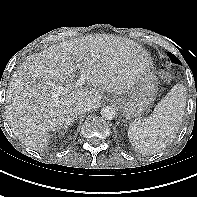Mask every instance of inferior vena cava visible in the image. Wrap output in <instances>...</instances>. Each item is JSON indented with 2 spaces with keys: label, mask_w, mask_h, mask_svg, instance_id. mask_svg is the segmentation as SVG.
<instances>
[{
  "label": "inferior vena cava",
  "mask_w": 197,
  "mask_h": 197,
  "mask_svg": "<svg viewBox=\"0 0 197 197\" xmlns=\"http://www.w3.org/2000/svg\"><path fill=\"white\" fill-rule=\"evenodd\" d=\"M92 108V103L89 99H83L76 103L75 109L78 114L89 111Z\"/></svg>",
  "instance_id": "1"
}]
</instances>
